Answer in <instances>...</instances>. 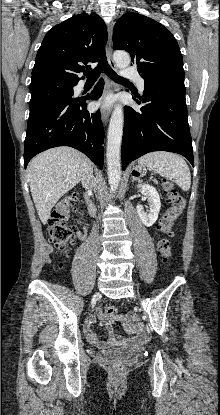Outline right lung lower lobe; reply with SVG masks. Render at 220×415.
Returning <instances> with one entry per match:
<instances>
[{"label": "right lung lower lobe", "instance_id": "98d812e1", "mask_svg": "<svg viewBox=\"0 0 220 415\" xmlns=\"http://www.w3.org/2000/svg\"><path fill=\"white\" fill-rule=\"evenodd\" d=\"M100 80L86 97L73 96L30 111L24 143V166L36 154L56 146H70L86 154L102 169L104 129L100 111L89 113L86 100L98 99L103 91Z\"/></svg>", "mask_w": 220, "mask_h": 415}]
</instances>
